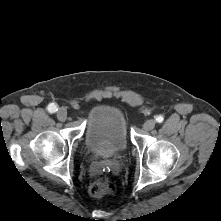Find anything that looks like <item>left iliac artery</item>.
<instances>
[{
    "label": "left iliac artery",
    "instance_id": "left-iliac-artery-1",
    "mask_svg": "<svg viewBox=\"0 0 221 221\" xmlns=\"http://www.w3.org/2000/svg\"><path fill=\"white\" fill-rule=\"evenodd\" d=\"M163 120H164V117H163L162 115H158V116L156 117V122H158V123H162Z\"/></svg>",
    "mask_w": 221,
    "mask_h": 221
}]
</instances>
